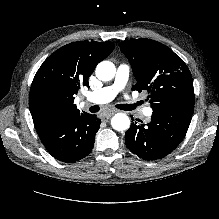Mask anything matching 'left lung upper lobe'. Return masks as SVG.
I'll list each match as a JSON object with an SVG mask.
<instances>
[{
    "instance_id": "5c2ea615",
    "label": "left lung upper lobe",
    "mask_w": 219,
    "mask_h": 219,
    "mask_svg": "<svg viewBox=\"0 0 219 219\" xmlns=\"http://www.w3.org/2000/svg\"><path fill=\"white\" fill-rule=\"evenodd\" d=\"M137 83L132 90L148 92L153 112H180L194 108L193 80L184 61L170 48L151 39L120 43Z\"/></svg>"
}]
</instances>
